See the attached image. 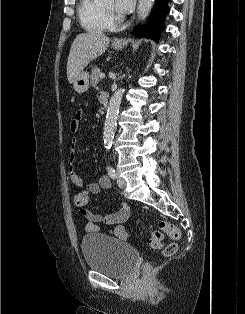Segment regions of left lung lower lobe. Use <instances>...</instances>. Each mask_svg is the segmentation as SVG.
Instances as JSON below:
<instances>
[{"label":"left lung lower lobe","mask_w":245,"mask_h":314,"mask_svg":"<svg viewBox=\"0 0 245 314\" xmlns=\"http://www.w3.org/2000/svg\"><path fill=\"white\" fill-rule=\"evenodd\" d=\"M168 1L169 0L156 1L146 28H141L140 25H137L133 30L135 36L158 41L160 33L165 28L164 19L169 13Z\"/></svg>","instance_id":"0a47b994"}]
</instances>
